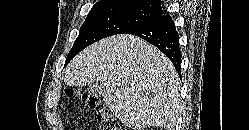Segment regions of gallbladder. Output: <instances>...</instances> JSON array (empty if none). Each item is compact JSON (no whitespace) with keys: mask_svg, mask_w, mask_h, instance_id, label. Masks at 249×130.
I'll list each match as a JSON object with an SVG mask.
<instances>
[{"mask_svg":"<svg viewBox=\"0 0 249 130\" xmlns=\"http://www.w3.org/2000/svg\"><path fill=\"white\" fill-rule=\"evenodd\" d=\"M86 90L89 95L97 98L104 97L105 94L104 87L99 82L89 84Z\"/></svg>","mask_w":249,"mask_h":130,"instance_id":"gallbladder-1","label":"gallbladder"}]
</instances>
